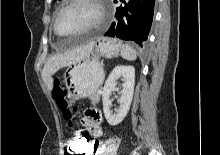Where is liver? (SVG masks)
<instances>
[{
    "mask_svg": "<svg viewBox=\"0 0 220 155\" xmlns=\"http://www.w3.org/2000/svg\"><path fill=\"white\" fill-rule=\"evenodd\" d=\"M93 45H87L85 47L69 49L59 54L52 56L44 65L42 71L43 80L49 91L53 89L52 76L65 66H69L80 62L88 56L92 51Z\"/></svg>",
    "mask_w": 220,
    "mask_h": 155,
    "instance_id": "obj_1",
    "label": "liver"
}]
</instances>
